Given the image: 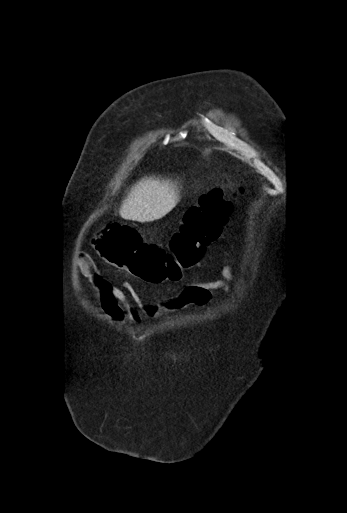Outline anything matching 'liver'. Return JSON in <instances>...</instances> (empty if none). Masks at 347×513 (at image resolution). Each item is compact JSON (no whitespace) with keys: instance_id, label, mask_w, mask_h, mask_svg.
Returning a JSON list of instances; mask_svg holds the SVG:
<instances>
[{"instance_id":"liver-1","label":"liver","mask_w":347,"mask_h":513,"mask_svg":"<svg viewBox=\"0 0 347 513\" xmlns=\"http://www.w3.org/2000/svg\"><path fill=\"white\" fill-rule=\"evenodd\" d=\"M176 187L172 182L149 178L132 187L123 201L120 216L125 219L151 218L166 214L177 200Z\"/></svg>"}]
</instances>
